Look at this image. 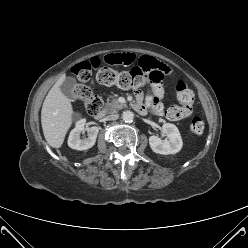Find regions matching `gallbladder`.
<instances>
[{"instance_id": "obj_1", "label": "gallbladder", "mask_w": 248, "mask_h": 248, "mask_svg": "<svg viewBox=\"0 0 248 248\" xmlns=\"http://www.w3.org/2000/svg\"><path fill=\"white\" fill-rule=\"evenodd\" d=\"M76 85H77L76 80L72 77H68L61 84L60 89L66 97H68L69 99H73L74 98V88L76 87Z\"/></svg>"}]
</instances>
